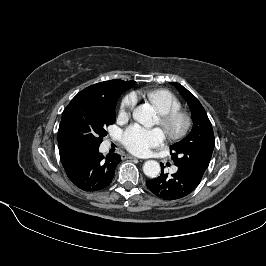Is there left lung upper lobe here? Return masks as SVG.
Returning <instances> with one entry per match:
<instances>
[{
	"label": "left lung upper lobe",
	"mask_w": 266,
	"mask_h": 266,
	"mask_svg": "<svg viewBox=\"0 0 266 266\" xmlns=\"http://www.w3.org/2000/svg\"><path fill=\"white\" fill-rule=\"evenodd\" d=\"M187 101L193 119L191 133L170 147L174 164L200 182L207 169L215 146L211 122L199 100L186 88L172 82Z\"/></svg>",
	"instance_id": "obj_1"
}]
</instances>
